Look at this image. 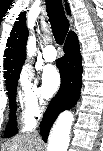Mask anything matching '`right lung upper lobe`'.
Here are the masks:
<instances>
[{
  "mask_svg": "<svg viewBox=\"0 0 103 151\" xmlns=\"http://www.w3.org/2000/svg\"><path fill=\"white\" fill-rule=\"evenodd\" d=\"M66 10L69 12L68 4ZM7 41V49L4 54V78L5 83H11L19 78L22 65L25 61V46L28 37L26 27V12H22L17 18Z\"/></svg>",
  "mask_w": 103,
  "mask_h": 151,
  "instance_id": "right-lung-upper-lobe-1",
  "label": "right lung upper lobe"
}]
</instances>
